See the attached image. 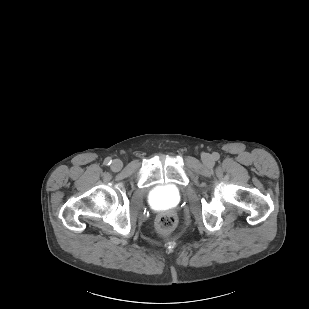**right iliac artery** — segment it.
Listing matches in <instances>:
<instances>
[{
    "instance_id": "82829eb1",
    "label": "right iliac artery",
    "mask_w": 309,
    "mask_h": 309,
    "mask_svg": "<svg viewBox=\"0 0 309 309\" xmlns=\"http://www.w3.org/2000/svg\"><path fill=\"white\" fill-rule=\"evenodd\" d=\"M111 162H112V160L110 158H106L105 161H104L105 165H110Z\"/></svg>"
}]
</instances>
